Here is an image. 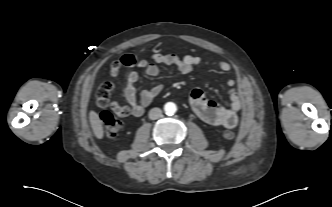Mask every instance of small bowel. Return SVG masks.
I'll return each instance as SVG.
<instances>
[{
    "mask_svg": "<svg viewBox=\"0 0 332 207\" xmlns=\"http://www.w3.org/2000/svg\"><path fill=\"white\" fill-rule=\"evenodd\" d=\"M208 62L207 59L196 55L177 56L174 54L154 53L149 60H142L138 66L144 70L149 77H156L159 74L157 64L170 65L176 67L181 74H189L194 66ZM217 67L223 72L232 70V66L225 60L218 61ZM139 79L137 71H131L127 76V83L124 89V96L129 104L127 113L119 116L139 117L155 97L162 91L160 84L153 85L141 92L139 97L135 89V84ZM227 85L231 87L229 92L231 103L228 107H222L209 100L205 92L200 89H194L190 94V103L194 112L207 124L222 126L225 128H235L238 125V113L241 110L243 94L234 88L235 80L229 79Z\"/></svg>",
    "mask_w": 332,
    "mask_h": 207,
    "instance_id": "1",
    "label": "small bowel"
}]
</instances>
